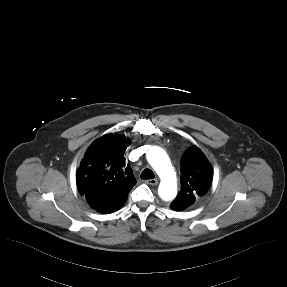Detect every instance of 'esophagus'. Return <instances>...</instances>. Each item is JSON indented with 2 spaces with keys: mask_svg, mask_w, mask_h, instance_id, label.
<instances>
[{
  "mask_svg": "<svg viewBox=\"0 0 287 287\" xmlns=\"http://www.w3.org/2000/svg\"><path fill=\"white\" fill-rule=\"evenodd\" d=\"M145 183L149 185H157L158 181L157 179H149V180H146Z\"/></svg>",
  "mask_w": 287,
  "mask_h": 287,
  "instance_id": "esophagus-1",
  "label": "esophagus"
}]
</instances>
